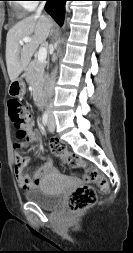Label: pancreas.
Here are the masks:
<instances>
[{
  "instance_id": "cf45deb5",
  "label": "pancreas",
  "mask_w": 133,
  "mask_h": 253,
  "mask_svg": "<svg viewBox=\"0 0 133 253\" xmlns=\"http://www.w3.org/2000/svg\"><path fill=\"white\" fill-rule=\"evenodd\" d=\"M45 67L46 63L33 60L26 70L25 79L33 87V98L35 101L42 93L46 82Z\"/></svg>"
}]
</instances>
